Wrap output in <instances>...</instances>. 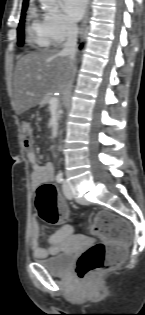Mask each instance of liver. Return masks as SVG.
<instances>
[{
	"mask_svg": "<svg viewBox=\"0 0 145 315\" xmlns=\"http://www.w3.org/2000/svg\"><path fill=\"white\" fill-rule=\"evenodd\" d=\"M69 60L56 49L21 56L13 78L12 108L17 115L39 104L47 93L65 87Z\"/></svg>",
	"mask_w": 145,
	"mask_h": 315,
	"instance_id": "6515ba94",
	"label": "liver"
}]
</instances>
